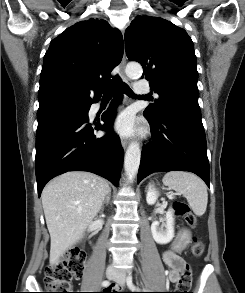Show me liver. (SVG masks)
Segmentation results:
<instances>
[{"mask_svg":"<svg viewBox=\"0 0 245 293\" xmlns=\"http://www.w3.org/2000/svg\"><path fill=\"white\" fill-rule=\"evenodd\" d=\"M109 190L103 178L79 171L64 173L45 186L41 198L51 238V266L84 237Z\"/></svg>","mask_w":245,"mask_h":293,"instance_id":"6515ba94","label":"liver"}]
</instances>
